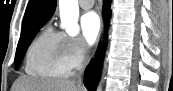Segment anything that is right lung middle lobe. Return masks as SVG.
I'll use <instances>...</instances> for the list:
<instances>
[{"mask_svg": "<svg viewBox=\"0 0 173 91\" xmlns=\"http://www.w3.org/2000/svg\"><path fill=\"white\" fill-rule=\"evenodd\" d=\"M38 26L34 29H31L29 31L26 32H21V36L18 42V46H17V50H16V56H15V66L16 69L19 68L22 58L28 48V46L30 45L32 39L34 38V36L36 35L37 31L42 27Z\"/></svg>", "mask_w": 173, "mask_h": 91, "instance_id": "right-lung-middle-lobe-1", "label": "right lung middle lobe"}]
</instances>
